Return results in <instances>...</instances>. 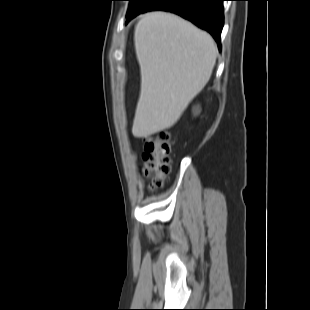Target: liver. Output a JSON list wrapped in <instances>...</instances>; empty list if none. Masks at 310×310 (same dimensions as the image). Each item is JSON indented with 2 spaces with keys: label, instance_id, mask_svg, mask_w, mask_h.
Segmentation results:
<instances>
[{
  "label": "liver",
  "instance_id": "liver-1",
  "mask_svg": "<svg viewBox=\"0 0 310 310\" xmlns=\"http://www.w3.org/2000/svg\"><path fill=\"white\" fill-rule=\"evenodd\" d=\"M134 41L141 90L132 133L141 138L179 120L209 81L218 50L208 33L165 12L145 14L135 26Z\"/></svg>",
  "mask_w": 310,
  "mask_h": 310
}]
</instances>
